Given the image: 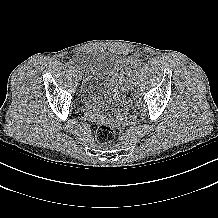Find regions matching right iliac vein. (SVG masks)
Segmentation results:
<instances>
[{
  "mask_svg": "<svg viewBox=\"0 0 218 218\" xmlns=\"http://www.w3.org/2000/svg\"><path fill=\"white\" fill-rule=\"evenodd\" d=\"M75 77L77 80H79V74L77 72L75 73Z\"/></svg>",
  "mask_w": 218,
  "mask_h": 218,
  "instance_id": "right-iliac-vein-1",
  "label": "right iliac vein"
}]
</instances>
